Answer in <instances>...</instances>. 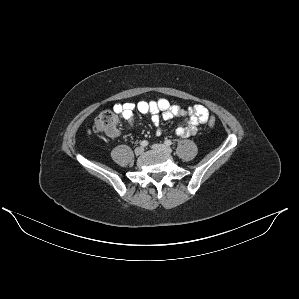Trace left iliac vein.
<instances>
[{"instance_id": "1", "label": "left iliac vein", "mask_w": 299, "mask_h": 299, "mask_svg": "<svg viewBox=\"0 0 299 299\" xmlns=\"http://www.w3.org/2000/svg\"><path fill=\"white\" fill-rule=\"evenodd\" d=\"M152 148L155 149V150L163 151L165 153H171L172 152V149L169 146L164 145V144H153Z\"/></svg>"}]
</instances>
